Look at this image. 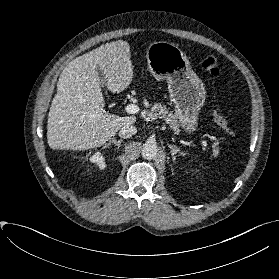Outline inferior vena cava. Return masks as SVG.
Wrapping results in <instances>:
<instances>
[{
    "mask_svg": "<svg viewBox=\"0 0 279 279\" xmlns=\"http://www.w3.org/2000/svg\"><path fill=\"white\" fill-rule=\"evenodd\" d=\"M137 132V129L135 126L132 125H126L124 127H122L119 131V136L121 138H130L133 135H135Z\"/></svg>",
    "mask_w": 279,
    "mask_h": 279,
    "instance_id": "602c4592",
    "label": "inferior vena cava"
}]
</instances>
